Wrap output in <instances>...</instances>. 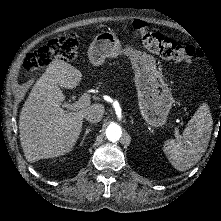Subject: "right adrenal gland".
I'll list each match as a JSON object with an SVG mask.
<instances>
[{
  "label": "right adrenal gland",
  "mask_w": 221,
  "mask_h": 221,
  "mask_svg": "<svg viewBox=\"0 0 221 221\" xmlns=\"http://www.w3.org/2000/svg\"><path fill=\"white\" fill-rule=\"evenodd\" d=\"M91 131L90 128H86V131L84 133V136L82 138V141L80 142V146H82L83 142H84V139L86 138L87 134Z\"/></svg>",
  "instance_id": "1"
}]
</instances>
